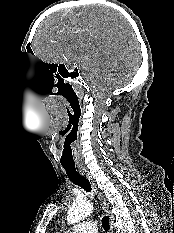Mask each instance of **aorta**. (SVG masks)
<instances>
[{"mask_svg":"<svg viewBox=\"0 0 174 233\" xmlns=\"http://www.w3.org/2000/svg\"><path fill=\"white\" fill-rule=\"evenodd\" d=\"M93 211L91 203L82 201L74 203L67 212L68 224H75L89 216Z\"/></svg>","mask_w":174,"mask_h":233,"instance_id":"1","label":"aorta"}]
</instances>
